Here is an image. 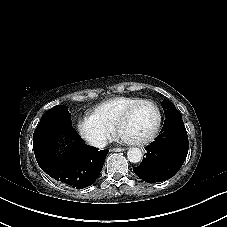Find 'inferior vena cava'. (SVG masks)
Returning <instances> with one entry per match:
<instances>
[{
    "instance_id": "602c4592",
    "label": "inferior vena cava",
    "mask_w": 227,
    "mask_h": 227,
    "mask_svg": "<svg viewBox=\"0 0 227 227\" xmlns=\"http://www.w3.org/2000/svg\"><path fill=\"white\" fill-rule=\"evenodd\" d=\"M92 144L97 148H104L107 145V141L104 137H95L92 139Z\"/></svg>"
}]
</instances>
